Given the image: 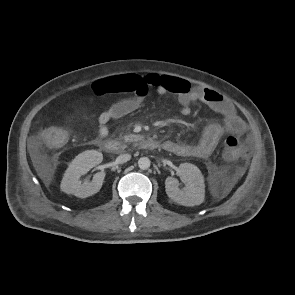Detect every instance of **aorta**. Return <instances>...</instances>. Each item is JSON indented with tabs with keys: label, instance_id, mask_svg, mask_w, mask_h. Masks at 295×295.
<instances>
[{
	"label": "aorta",
	"instance_id": "1",
	"mask_svg": "<svg viewBox=\"0 0 295 295\" xmlns=\"http://www.w3.org/2000/svg\"><path fill=\"white\" fill-rule=\"evenodd\" d=\"M151 165V161L147 157H141L138 160V166L141 170H147Z\"/></svg>",
	"mask_w": 295,
	"mask_h": 295
}]
</instances>
